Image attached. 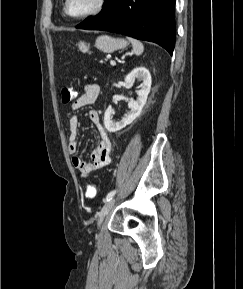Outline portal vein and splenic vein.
Segmentation results:
<instances>
[{
  "mask_svg": "<svg viewBox=\"0 0 243 289\" xmlns=\"http://www.w3.org/2000/svg\"><path fill=\"white\" fill-rule=\"evenodd\" d=\"M110 64L112 65V66H114V65H116V62L115 61H110Z\"/></svg>",
  "mask_w": 243,
  "mask_h": 289,
  "instance_id": "obj_1",
  "label": "portal vein and splenic vein"
}]
</instances>
